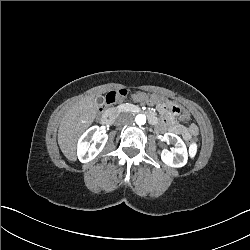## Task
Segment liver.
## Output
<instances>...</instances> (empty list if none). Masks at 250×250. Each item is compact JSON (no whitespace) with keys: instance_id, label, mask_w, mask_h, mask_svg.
Listing matches in <instances>:
<instances>
[{"instance_id":"obj_1","label":"liver","mask_w":250,"mask_h":250,"mask_svg":"<svg viewBox=\"0 0 250 250\" xmlns=\"http://www.w3.org/2000/svg\"><path fill=\"white\" fill-rule=\"evenodd\" d=\"M98 103L86 96L77 101L64 115L58 129V144L64 156L76 161V144L80 135L97 117Z\"/></svg>"}]
</instances>
